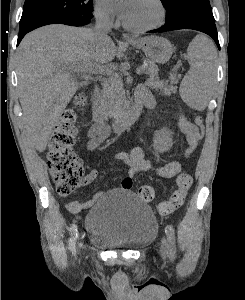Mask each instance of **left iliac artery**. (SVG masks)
Listing matches in <instances>:
<instances>
[{"instance_id":"obj_1","label":"left iliac artery","mask_w":245,"mask_h":300,"mask_svg":"<svg viewBox=\"0 0 245 300\" xmlns=\"http://www.w3.org/2000/svg\"><path fill=\"white\" fill-rule=\"evenodd\" d=\"M165 233L168 239V253L171 260L176 257V242H175V231L172 225H167Z\"/></svg>"}]
</instances>
